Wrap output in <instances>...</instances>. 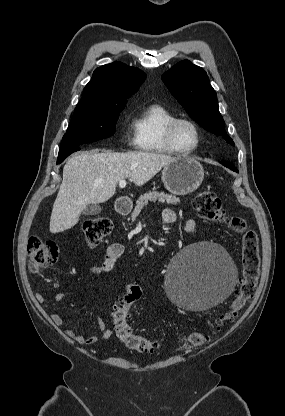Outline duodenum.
Masks as SVG:
<instances>
[{
	"mask_svg": "<svg viewBox=\"0 0 285 416\" xmlns=\"http://www.w3.org/2000/svg\"><path fill=\"white\" fill-rule=\"evenodd\" d=\"M132 204V197H117L115 207L120 215H125L130 212Z\"/></svg>",
	"mask_w": 285,
	"mask_h": 416,
	"instance_id": "410a0bca",
	"label": "duodenum"
}]
</instances>
